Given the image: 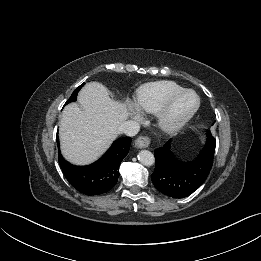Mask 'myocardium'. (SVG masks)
Listing matches in <instances>:
<instances>
[{
  "label": "myocardium",
  "instance_id": "f54148a6",
  "mask_svg": "<svg viewBox=\"0 0 261 261\" xmlns=\"http://www.w3.org/2000/svg\"><path fill=\"white\" fill-rule=\"evenodd\" d=\"M187 93H192L196 97L195 106L185 115L181 117L172 116V108L176 101ZM201 99L198 93L192 89H182L175 94H173L162 106V108L157 113V122L159 128L167 133H174L182 129L197 113L200 108Z\"/></svg>",
  "mask_w": 261,
  "mask_h": 261
}]
</instances>
